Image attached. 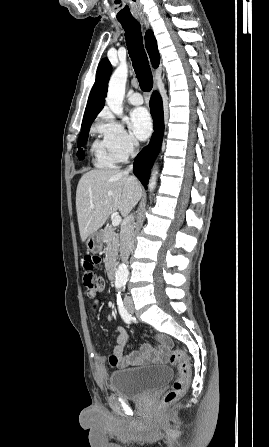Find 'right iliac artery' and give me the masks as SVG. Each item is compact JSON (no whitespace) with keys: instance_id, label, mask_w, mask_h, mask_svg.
<instances>
[{"instance_id":"1","label":"right iliac artery","mask_w":269,"mask_h":447,"mask_svg":"<svg viewBox=\"0 0 269 447\" xmlns=\"http://www.w3.org/2000/svg\"><path fill=\"white\" fill-rule=\"evenodd\" d=\"M123 285L122 284H117L116 288L119 290L121 289ZM117 305H118V309H119V313L122 317V319L126 322V323H131L132 317L131 315L127 312V310L125 309V307L123 306V302L120 296V292H118L117 294Z\"/></svg>"}]
</instances>
